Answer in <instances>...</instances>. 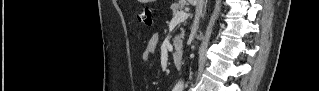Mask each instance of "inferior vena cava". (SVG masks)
Listing matches in <instances>:
<instances>
[{
    "label": "inferior vena cava",
    "mask_w": 319,
    "mask_h": 91,
    "mask_svg": "<svg viewBox=\"0 0 319 91\" xmlns=\"http://www.w3.org/2000/svg\"><path fill=\"white\" fill-rule=\"evenodd\" d=\"M205 4V0H198V3L196 5V11H195V19H194V23H193V33H195L198 29V25H199V18L202 15V10H203V6Z\"/></svg>",
    "instance_id": "1"
}]
</instances>
